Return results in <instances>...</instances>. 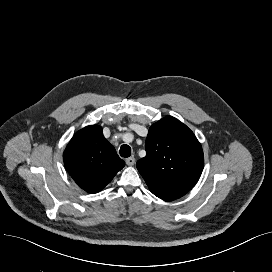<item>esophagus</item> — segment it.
I'll return each mask as SVG.
<instances>
[{
  "mask_svg": "<svg viewBox=\"0 0 272 272\" xmlns=\"http://www.w3.org/2000/svg\"><path fill=\"white\" fill-rule=\"evenodd\" d=\"M126 164L128 166H133L135 164V158L134 157H129L126 159Z\"/></svg>",
  "mask_w": 272,
  "mask_h": 272,
  "instance_id": "obj_1",
  "label": "esophagus"
}]
</instances>
